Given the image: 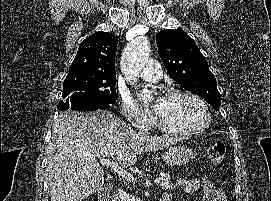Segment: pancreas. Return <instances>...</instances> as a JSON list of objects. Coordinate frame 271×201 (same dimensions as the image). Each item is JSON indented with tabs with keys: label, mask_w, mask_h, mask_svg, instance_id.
Masks as SVG:
<instances>
[{
	"label": "pancreas",
	"mask_w": 271,
	"mask_h": 201,
	"mask_svg": "<svg viewBox=\"0 0 271 201\" xmlns=\"http://www.w3.org/2000/svg\"><path fill=\"white\" fill-rule=\"evenodd\" d=\"M160 186L163 190H170L175 188V185L170 182V176L167 174L161 175Z\"/></svg>",
	"instance_id": "obj_1"
}]
</instances>
